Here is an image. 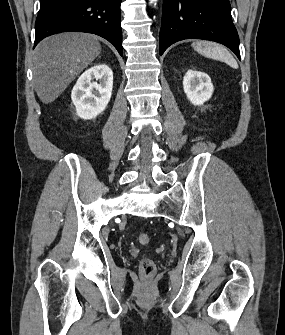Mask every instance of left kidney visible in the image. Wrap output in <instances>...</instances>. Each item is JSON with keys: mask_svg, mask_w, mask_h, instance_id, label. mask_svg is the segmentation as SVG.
Wrapping results in <instances>:
<instances>
[{"mask_svg": "<svg viewBox=\"0 0 285 335\" xmlns=\"http://www.w3.org/2000/svg\"><path fill=\"white\" fill-rule=\"evenodd\" d=\"M184 92L194 106H202L204 102L210 100L214 88L208 74L188 70L183 80Z\"/></svg>", "mask_w": 285, "mask_h": 335, "instance_id": "5707ae66", "label": "left kidney"}]
</instances>
